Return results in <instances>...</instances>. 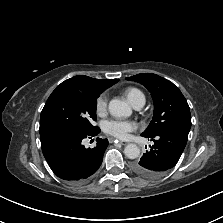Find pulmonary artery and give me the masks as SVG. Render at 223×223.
I'll return each instance as SVG.
<instances>
[{
    "mask_svg": "<svg viewBox=\"0 0 223 223\" xmlns=\"http://www.w3.org/2000/svg\"><path fill=\"white\" fill-rule=\"evenodd\" d=\"M144 104H145V101H140V102H138L137 104L134 105V108L139 110L144 106Z\"/></svg>",
    "mask_w": 223,
    "mask_h": 223,
    "instance_id": "e3ab8cb5",
    "label": "pulmonary artery"
}]
</instances>
